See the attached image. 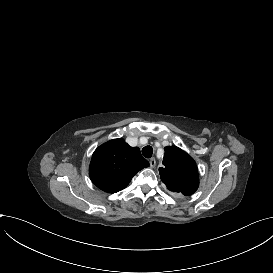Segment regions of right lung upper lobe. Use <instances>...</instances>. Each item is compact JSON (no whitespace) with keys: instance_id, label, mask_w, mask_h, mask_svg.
Segmentation results:
<instances>
[{"instance_id":"obj_1","label":"right lung upper lobe","mask_w":273,"mask_h":273,"mask_svg":"<svg viewBox=\"0 0 273 273\" xmlns=\"http://www.w3.org/2000/svg\"><path fill=\"white\" fill-rule=\"evenodd\" d=\"M149 163L138 147H130L123 139H113L93 153L89 175L101 190L116 193L125 188L132 177Z\"/></svg>"}]
</instances>
